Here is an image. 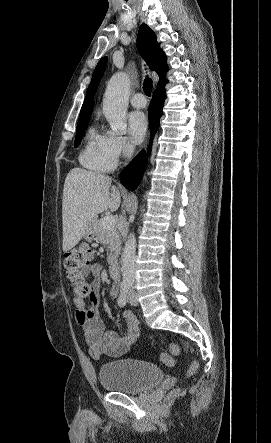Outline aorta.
<instances>
[{
    "instance_id": "obj_1",
    "label": "aorta",
    "mask_w": 271,
    "mask_h": 443,
    "mask_svg": "<svg viewBox=\"0 0 271 443\" xmlns=\"http://www.w3.org/2000/svg\"><path fill=\"white\" fill-rule=\"evenodd\" d=\"M130 96V80L125 72H116L108 82L103 98V114L113 132L127 128V106ZM135 233H129L122 251V275L124 281L135 279Z\"/></svg>"
}]
</instances>
